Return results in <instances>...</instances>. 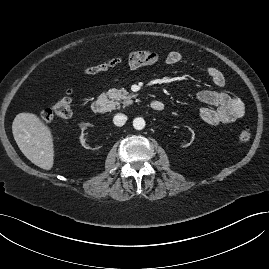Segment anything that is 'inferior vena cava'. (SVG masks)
Segmentation results:
<instances>
[{
    "mask_svg": "<svg viewBox=\"0 0 269 269\" xmlns=\"http://www.w3.org/2000/svg\"><path fill=\"white\" fill-rule=\"evenodd\" d=\"M127 121V116L124 115V114H116L113 118V123L116 125V126H123Z\"/></svg>",
    "mask_w": 269,
    "mask_h": 269,
    "instance_id": "602c4592",
    "label": "inferior vena cava"
}]
</instances>
